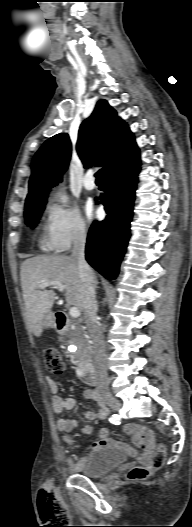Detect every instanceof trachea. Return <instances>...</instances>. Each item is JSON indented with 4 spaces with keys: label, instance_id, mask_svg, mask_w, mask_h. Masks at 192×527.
Returning a JSON list of instances; mask_svg holds the SVG:
<instances>
[{
    "label": "trachea",
    "instance_id": "3493384b",
    "mask_svg": "<svg viewBox=\"0 0 192 527\" xmlns=\"http://www.w3.org/2000/svg\"><path fill=\"white\" fill-rule=\"evenodd\" d=\"M95 177H96V180L97 181H103V171L102 170H98L95 174Z\"/></svg>",
    "mask_w": 192,
    "mask_h": 527
}]
</instances>
